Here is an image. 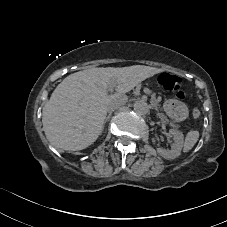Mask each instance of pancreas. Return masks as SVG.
<instances>
[{"label": "pancreas", "mask_w": 227, "mask_h": 227, "mask_svg": "<svg viewBox=\"0 0 227 227\" xmlns=\"http://www.w3.org/2000/svg\"><path fill=\"white\" fill-rule=\"evenodd\" d=\"M160 117H161L162 119H164L165 122H166L171 128H175V127H176V124L173 123L172 120L169 119V117L166 116L164 113H161V114H160Z\"/></svg>", "instance_id": "obj_1"}]
</instances>
